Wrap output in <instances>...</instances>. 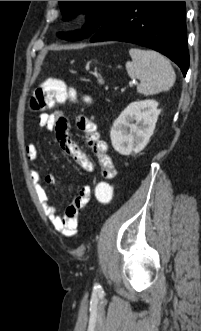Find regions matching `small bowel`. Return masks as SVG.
<instances>
[{
    "instance_id": "1",
    "label": "small bowel",
    "mask_w": 201,
    "mask_h": 331,
    "mask_svg": "<svg viewBox=\"0 0 201 331\" xmlns=\"http://www.w3.org/2000/svg\"><path fill=\"white\" fill-rule=\"evenodd\" d=\"M39 125L48 131H54L56 139L63 151L72 157L85 171L92 172L94 164L89 157L80 149L69 135L70 123L66 115L60 111L43 113L39 116ZM77 128L84 133L88 147L96 156L99 163L100 175L105 180H111L116 175L114 163L108 153L105 141L101 139L97 125L88 117L79 115L76 118ZM26 155L30 162H35L38 152L33 144L26 146ZM30 176L36 191L38 200L42 204L47 218L54 228L64 236L72 237L77 232L78 214L87 205L91 198V189L88 185L83 186L78 195L73 199L63 216L58 214L56 207L49 202L48 193L43 183L55 184L53 175L42 177L37 170H31Z\"/></svg>"
}]
</instances>
